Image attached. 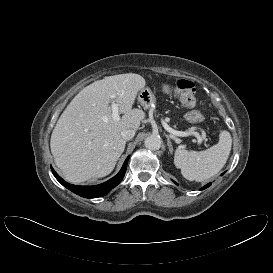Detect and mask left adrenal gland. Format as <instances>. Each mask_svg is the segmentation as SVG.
Instances as JSON below:
<instances>
[{
    "label": "left adrenal gland",
    "mask_w": 273,
    "mask_h": 273,
    "mask_svg": "<svg viewBox=\"0 0 273 273\" xmlns=\"http://www.w3.org/2000/svg\"><path fill=\"white\" fill-rule=\"evenodd\" d=\"M166 137H167V145H168V147H169V151H170V153L172 154V153H173L172 143H171V141H170L169 136L166 135Z\"/></svg>",
    "instance_id": "obj_1"
}]
</instances>
